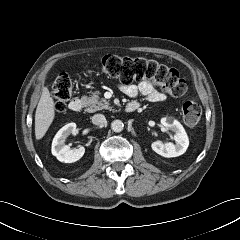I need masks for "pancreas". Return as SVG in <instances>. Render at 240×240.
<instances>
[{
  "instance_id": "obj_1",
  "label": "pancreas",
  "mask_w": 240,
  "mask_h": 240,
  "mask_svg": "<svg viewBox=\"0 0 240 240\" xmlns=\"http://www.w3.org/2000/svg\"><path fill=\"white\" fill-rule=\"evenodd\" d=\"M100 92L95 91L94 93L91 94L90 97L83 96L81 100L84 102L87 112L93 113L99 110L103 109H110L111 107L109 106V102L102 98L100 99L99 97Z\"/></svg>"
}]
</instances>
